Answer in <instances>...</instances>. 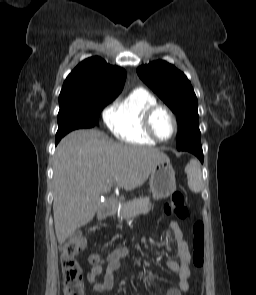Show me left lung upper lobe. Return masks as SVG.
Listing matches in <instances>:
<instances>
[{
    "label": "left lung upper lobe",
    "mask_w": 256,
    "mask_h": 295,
    "mask_svg": "<svg viewBox=\"0 0 256 295\" xmlns=\"http://www.w3.org/2000/svg\"><path fill=\"white\" fill-rule=\"evenodd\" d=\"M139 77L176 113L178 150L201 146L197 98L187 77L165 61H155L137 69Z\"/></svg>",
    "instance_id": "5c2ea615"
}]
</instances>
